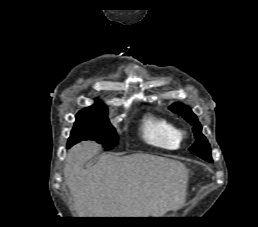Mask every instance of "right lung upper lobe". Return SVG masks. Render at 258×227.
<instances>
[{
	"label": "right lung upper lobe",
	"mask_w": 258,
	"mask_h": 227,
	"mask_svg": "<svg viewBox=\"0 0 258 227\" xmlns=\"http://www.w3.org/2000/svg\"><path fill=\"white\" fill-rule=\"evenodd\" d=\"M86 109L106 110L107 107L103 103H101L100 101H96V103L94 105H92L91 107H87Z\"/></svg>",
	"instance_id": "1"
}]
</instances>
